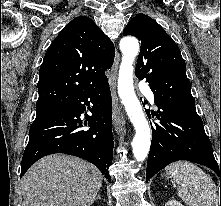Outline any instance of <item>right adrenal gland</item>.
<instances>
[{
    "mask_svg": "<svg viewBox=\"0 0 221 206\" xmlns=\"http://www.w3.org/2000/svg\"><path fill=\"white\" fill-rule=\"evenodd\" d=\"M98 199L101 200V194H99V195L96 197L95 201H97Z\"/></svg>",
    "mask_w": 221,
    "mask_h": 206,
    "instance_id": "1",
    "label": "right adrenal gland"
}]
</instances>
